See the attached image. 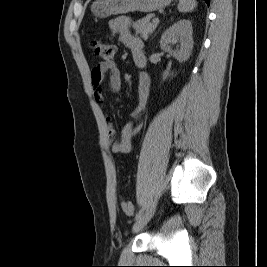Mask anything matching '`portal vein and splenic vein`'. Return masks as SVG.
<instances>
[{
    "label": "portal vein and splenic vein",
    "instance_id": "18ae733b",
    "mask_svg": "<svg viewBox=\"0 0 267 267\" xmlns=\"http://www.w3.org/2000/svg\"><path fill=\"white\" fill-rule=\"evenodd\" d=\"M152 22H153V23H156V24L159 23V18H158V17L154 18V19L152 20Z\"/></svg>",
    "mask_w": 267,
    "mask_h": 267
}]
</instances>
